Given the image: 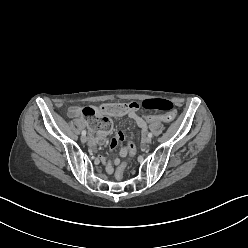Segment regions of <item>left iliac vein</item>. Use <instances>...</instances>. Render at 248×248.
Segmentation results:
<instances>
[{
    "mask_svg": "<svg viewBox=\"0 0 248 248\" xmlns=\"http://www.w3.org/2000/svg\"><path fill=\"white\" fill-rule=\"evenodd\" d=\"M145 142L148 143V144L151 143V138L150 137H146L145 138Z\"/></svg>",
    "mask_w": 248,
    "mask_h": 248,
    "instance_id": "obj_1",
    "label": "left iliac vein"
}]
</instances>
